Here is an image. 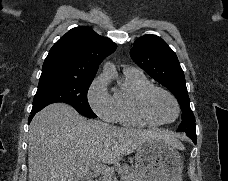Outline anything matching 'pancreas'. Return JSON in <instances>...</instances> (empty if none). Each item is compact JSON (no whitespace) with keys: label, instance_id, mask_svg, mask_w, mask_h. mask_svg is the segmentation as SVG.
Instances as JSON below:
<instances>
[{"label":"pancreas","instance_id":"cf45deb5","mask_svg":"<svg viewBox=\"0 0 228 181\" xmlns=\"http://www.w3.org/2000/svg\"><path fill=\"white\" fill-rule=\"evenodd\" d=\"M118 173L121 175V181H141L138 173L134 169H131V167H121V169H118ZM111 177L109 179L108 175H102L100 179L101 181H111Z\"/></svg>","mask_w":228,"mask_h":181}]
</instances>
